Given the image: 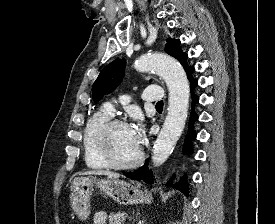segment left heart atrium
I'll return each instance as SVG.
<instances>
[{
	"mask_svg": "<svg viewBox=\"0 0 275 224\" xmlns=\"http://www.w3.org/2000/svg\"><path fill=\"white\" fill-rule=\"evenodd\" d=\"M130 131L134 140L139 145L143 139L142 129L140 125H133L132 127H130Z\"/></svg>",
	"mask_w": 275,
	"mask_h": 224,
	"instance_id": "39dd6f15",
	"label": "left heart atrium"
}]
</instances>
